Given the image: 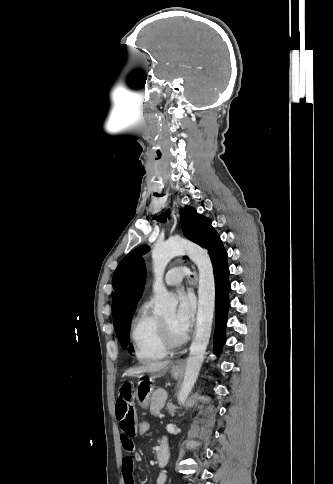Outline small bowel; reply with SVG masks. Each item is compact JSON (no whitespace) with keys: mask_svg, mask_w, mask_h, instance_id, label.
Returning <instances> with one entry per match:
<instances>
[{"mask_svg":"<svg viewBox=\"0 0 333 484\" xmlns=\"http://www.w3.org/2000/svg\"><path fill=\"white\" fill-rule=\"evenodd\" d=\"M116 419L121 429V444L126 452L122 459V474L125 484H135L134 464L141 461V456L135 451L134 438L137 435V411L135 408V389L130 382L123 383L118 390L115 403ZM165 482V475L161 473L157 484Z\"/></svg>","mask_w":333,"mask_h":484,"instance_id":"1","label":"small bowel"}]
</instances>
